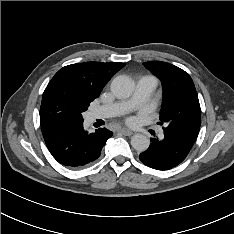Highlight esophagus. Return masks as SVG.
Returning a JSON list of instances; mask_svg holds the SVG:
<instances>
[{
	"mask_svg": "<svg viewBox=\"0 0 234 234\" xmlns=\"http://www.w3.org/2000/svg\"><path fill=\"white\" fill-rule=\"evenodd\" d=\"M119 132L125 136H131L133 134V132L131 130L126 129V128L120 129Z\"/></svg>",
	"mask_w": 234,
	"mask_h": 234,
	"instance_id": "obj_1",
	"label": "esophagus"
}]
</instances>
